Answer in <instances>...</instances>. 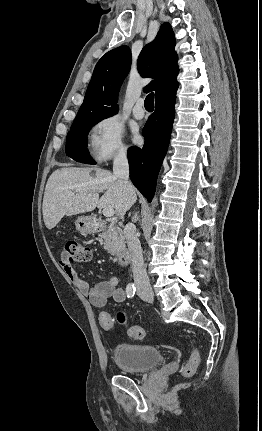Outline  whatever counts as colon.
Wrapping results in <instances>:
<instances>
[{"instance_id":"colon-1","label":"colon","mask_w":262,"mask_h":431,"mask_svg":"<svg viewBox=\"0 0 262 431\" xmlns=\"http://www.w3.org/2000/svg\"><path fill=\"white\" fill-rule=\"evenodd\" d=\"M91 257L90 248L79 241H68L64 247V259L66 264H79L87 261ZM117 320L121 325L127 324L126 315L123 312L117 314ZM99 323L101 327L110 331L114 328V318L106 312L99 315ZM127 335L134 340H143L146 337L145 330L138 325H131L127 328ZM200 353L196 346H193L192 352L183 366L182 374L185 377H191L197 371L200 364Z\"/></svg>"}]
</instances>
